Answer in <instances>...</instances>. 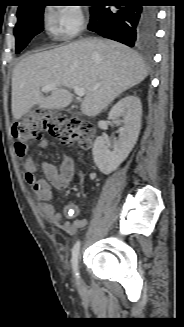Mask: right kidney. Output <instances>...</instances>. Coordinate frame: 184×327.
I'll return each mask as SVG.
<instances>
[{
	"label": "right kidney",
	"instance_id": "obj_1",
	"mask_svg": "<svg viewBox=\"0 0 184 327\" xmlns=\"http://www.w3.org/2000/svg\"><path fill=\"white\" fill-rule=\"evenodd\" d=\"M142 106L137 96H126L118 101L109 112V119L120 125L119 139L109 150L108 140L97 137L93 145V159L103 174H110L128 157L137 142L141 129ZM122 118V119H120Z\"/></svg>",
	"mask_w": 184,
	"mask_h": 327
}]
</instances>
